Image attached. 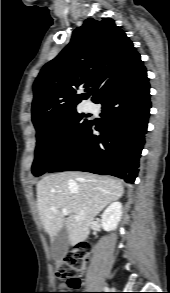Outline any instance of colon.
Returning a JSON list of instances; mask_svg holds the SVG:
<instances>
[{
  "label": "colon",
  "mask_w": 170,
  "mask_h": 293,
  "mask_svg": "<svg viewBox=\"0 0 170 293\" xmlns=\"http://www.w3.org/2000/svg\"><path fill=\"white\" fill-rule=\"evenodd\" d=\"M88 254L83 247H80L74 254L67 259L55 262L56 277L62 281V290L74 291L80 287L79 274L86 268ZM73 293V292H55Z\"/></svg>",
  "instance_id": "colon-1"
}]
</instances>
